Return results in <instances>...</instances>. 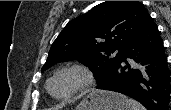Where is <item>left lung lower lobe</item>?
<instances>
[{
    "mask_svg": "<svg viewBox=\"0 0 171 110\" xmlns=\"http://www.w3.org/2000/svg\"><path fill=\"white\" fill-rule=\"evenodd\" d=\"M126 58L135 66L131 67ZM97 88L130 96L148 110H170V71L163 41L151 17L127 46L115 70Z\"/></svg>",
    "mask_w": 171,
    "mask_h": 110,
    "instance_id": "left-lung-lower-lobe-1",
    "label": "left lung lower lobe"
}]
</instances>
